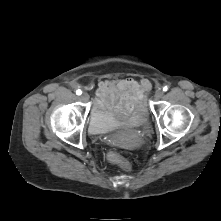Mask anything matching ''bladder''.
<instances>
[{"mask_svg":"<svg viewBox=\"0 0 221 221\" xmlns=\"http://www.w3.org/2000/svg\"><path fill=\"white\" fill-rule=\"evenodd\" d=\"M146 119L147 112L144 107L127 116L118 109L102 107L97 102L90 114L89 130L94 135H109L119 124L125 121L141 125L146 122ZM114 143L117 144L118 142L114 141Z\"/></svg>","mask_w":221,"mask_h":221,"instance_id":"31cf9c89","label":"bladder"}]
</instances>
